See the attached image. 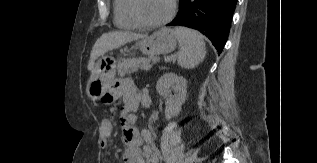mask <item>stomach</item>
Returning a JSON list of instances; mask_svg holds the SVG:
<instances>
[{"instance_id": "0dacf381", "label": "stomach", "mask_w": 317, "mask_h": 163, "mask_svg": "<svg viewBox=\"0 0 317 163\" xmlns=\"http://www.w3.org/2000/svg\"><path fill=\"white\" fill-rule=\"evenodd\" d=\"M177 41L178 37L173 29L162 28L151 36L139 41L137 47L143 55L167 54L176 48ZM114 74V64H108L106 61L99 60L87 84L86 92L88 97L93 101L104 97Z\"/></svg>"}]
</instances>
